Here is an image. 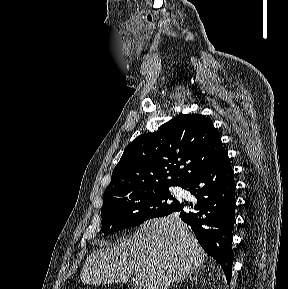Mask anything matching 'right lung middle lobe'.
Here are the masks:
<instances>
[{"instance_id":"1","label":"right lung middle lobe","mask_w":288,"mask_h":289,"mask_svg":"<svg viewBox=\"0 0 288 289\" xmlns=\"http://www.w3.org/2000/svg\"><path fill=\"white\" fill-rule=\"evenodd\" d=\"M178 204L169 187L148 188L106 197L101 209V230L106 236L140 225L148 219L167 215Z\"/></svg>"}]
</instances>
